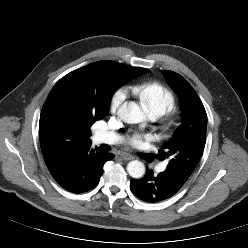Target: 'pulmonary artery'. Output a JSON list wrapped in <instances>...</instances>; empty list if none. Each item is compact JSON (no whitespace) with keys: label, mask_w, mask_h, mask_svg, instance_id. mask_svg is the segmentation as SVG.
<instances>
[{"label":"pulmonary artery","mask_w":248,"mask_h":248,"mask_svg":"<svg viewBox=\"0 0 248 248\" xmlns=\"http://www.w3.org/2000/svg\"><path fill=\"white\" fill-rule=\"evenodd\" d=\"M152 119H155V116H151ZM93 140L95 143L97 144H114L117 143L120 140V137L115 134V133H110V132H97L94 137ZM166 165L163 164L159 167L160 171L165 170Z\"/></svg>","instance_id":"obj_1"}]
</instances>
